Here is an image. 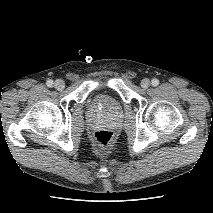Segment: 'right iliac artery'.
I'll return each instance as SVG.
<instances>
[{"label": "right iliac artery", "mask_w": 213, "mask_h": 213, "mask_svg": "<svg viewBox=\"0 0 213 213\" xmlns=\"http://www.w3.org/2000/svg\"><path fill=\"white\" fill-rule=\"evenodd\" d=\"M46 85H47L48 87H52V86H53V81H52V80H48V81L46 82Z\"/></svg>", "instance_id": "1"}]
</instances>
